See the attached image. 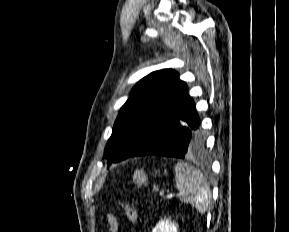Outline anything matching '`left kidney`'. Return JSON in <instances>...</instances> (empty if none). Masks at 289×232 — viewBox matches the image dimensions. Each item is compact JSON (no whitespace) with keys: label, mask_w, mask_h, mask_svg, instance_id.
<instances>
[{"label":"left kidney","mask_w":289,"mask_h":232,"mask_svg":"<svg viewBox=\"0 0 289 232\" xmlns=\"http://www.w3.org/2000/svg\"><path fill=\"white\" fill-rule=\"evenodd\" d=\"M152 232H178V225L171 219H163L158 222Z\"/></svg>","instance_id":"left-kidney-1"}]
</instances>
